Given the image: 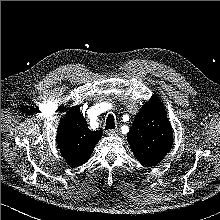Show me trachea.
I'll return each instance as SVG.
<instances>
[{"label":"trachea","instance_id":"trachea-1","mask_svg":"<svg viewBox=\"0 0 220 220\" xmlns=\"http://www.w3.org/2000/svg\"><path fill=\"white\" fill-rule=\"evenodd\" d=\"M115 128V122H114V116L112 114H109L106 119V126L105 129H114Z\"/></svg>","mask_w":220,"mask_h":220}]
</instances>
